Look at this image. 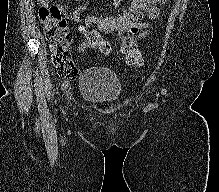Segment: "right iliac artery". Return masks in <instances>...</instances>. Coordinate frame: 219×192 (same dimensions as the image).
<instances>
[{"label": "right iliac artery", "instance_id": "82829eb1", "mask_svg": "<svg viewBox=\"0 0 219 192\" xmlns=\"http://www.w3.org/2000/svg\"><path fill=\"white\" fill-rule=\"evenodd\" d=\"M68 87V83L63 84V88H67Z\"/></svg>", "mask_w": 219, "mask_h": 192}]
</instances>
